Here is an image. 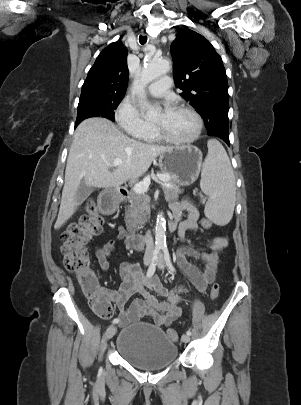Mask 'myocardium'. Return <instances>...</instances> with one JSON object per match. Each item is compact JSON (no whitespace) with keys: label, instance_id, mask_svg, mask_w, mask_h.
Segmentation results:
<instances>
[{"label":"myocardium","instance_id":"1","mask_svg":"<svg viewBox=\"0 0 301 405\" xmlns=\"http://www.w3.org/2000/svg\"><path fill=\"white\" fill-rule=\"evenodd\" d=\"M175 109L188 112L189 114H191L194 117V119L196 121V129H195V132L193 133V135L188 138H177V137H174V136L170 135L169 133H167L160 125L153 124V128H154L155 132L161 139H163L167 142H170V143H174V144L193 143L194 141H196L199 138V136L202 132V129H203L202 117L195 109H193L192 107L187 106V105H179Z\"/></svg>","mask_w":301,"mask_h":405}]
</instances>
